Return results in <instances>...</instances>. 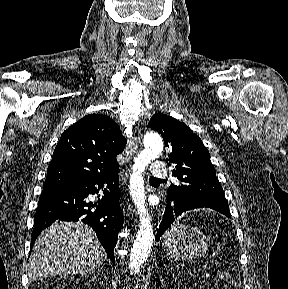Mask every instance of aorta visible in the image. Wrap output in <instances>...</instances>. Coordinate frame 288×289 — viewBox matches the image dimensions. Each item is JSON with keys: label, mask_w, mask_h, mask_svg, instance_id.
Listing matches in <instances>:
<instances>
[{"label": "aorta", "mask_w": 288, "mask_h": 289, "mask_svg": "<svg viewBox=\"0 0 288 289\" xmlns=\"http://www.w3.org/2000/svg\"><path fill=\"white\" fill-rule=\"evenodd\" d=\"M144 145L145 149L134 160L129 183L130 194L140 217L139 229L129 258L132 274L139 272L153 246L154 233L151 218L146 209L143 173L148 164L161 154L163 141L157 134H149L144 140Z\"/></svg>", "instance_id": "obj_1"}]
</instances>
